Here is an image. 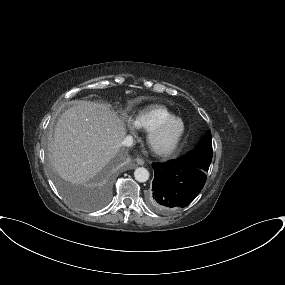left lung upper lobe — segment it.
Masks as SVG:
<instances>
[{
    "instance_id": "left-lung-upper-lobe-1",
    "label": "left lung upper lobe",
    "mask_w": 285,
    "mask_h": 285,
    "mask_svg": "<svg viewBox=\"0 0 285 285\" xmlns=\"http://www.w3.org/2000/svg\"><path fill=\"white\" fill-rule=\"evenodd\" d=\"M177 160L208 172L212 161L211 132L207 131L194 150H191Z\"/></svg>"
}]
</instances>
